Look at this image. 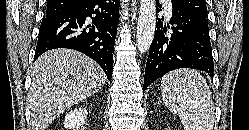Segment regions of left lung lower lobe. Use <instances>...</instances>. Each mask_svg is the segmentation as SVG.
<instances>
[{
	"label": "left lung lower lobe",
	"mask_w": 249,
	"mask_h": 130,
	"mask_svg": "<svg viewBox=\"0 0 249 130\" xmlns=\"http://www.w3.org/2000/svg\"><path fill=\"white\" fill-rule=\"evenodd\" d=\"M163 20L158 19L156 22L143 91L165 73L178 68L202 70L213 77L214 63L207 18L172 1L171 25H163Z\"/></svg>",
	"instance_id": "obj_1"
}]
</instances>
